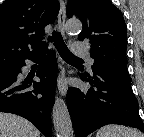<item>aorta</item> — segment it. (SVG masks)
<instances>
[{
  "mask_svg": "<svg viewBox=\"0 0 144 137\" xmlns=\"http://www.w3.org/2000/svg\"><path fill=\"white\" fill-rule=\"evenodd\" d=\"M82 29V23L79 20H68L66 30L68 32H79ZM53 124L57 137H73V125L65 101L56 97L52 110Z\"/></svg>",
  "mask_w": 144,
  "mask_h": 137,
  "instance_id": "aorta-1",
  "label": "aorta"
}]
</instances>
